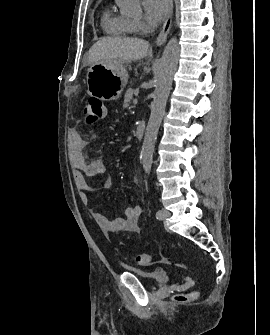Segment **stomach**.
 <instances>
[{"instance_id": "obj_1", "label": "stomach", "mask_w": 270, "mask_h": 335, "mask_svg": "<svg viewBox=\"0 0 270 335\" xmlns=\"http://www.w3.org/2000/svg\"><path fill=\"white\" fill-rule=\"evenodd\" d=\"M128 72L122 62L115 68H108L105 64H91L87 70V92L91 98L97 100H118L127 82Z\"/></svg>"}]
</instances>
